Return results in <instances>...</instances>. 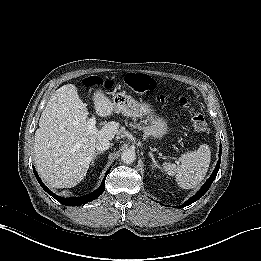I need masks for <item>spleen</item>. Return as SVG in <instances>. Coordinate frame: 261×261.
<instances>
[{"instance_id":"spleen-1","label":"spleen","mask_w":261,"mask_h":261,"mask_svg":"<svg viewBox=\"0 0 261 261\" xmlns=\"http://www.w3.org/2000/svg\"><path fill=\"white\" fill-rule=\"evenodd\" d=\"M211 160L208 145L202 144L195 151L186 152L180 157V164L164 163L163 168L170 176H176L177 184L183 189H192L205 178Z\"/></svg>"}]
</instances>
